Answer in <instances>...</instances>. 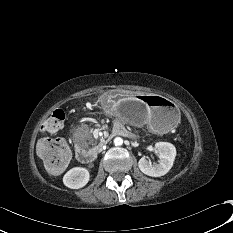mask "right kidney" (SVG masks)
Returning <instances> with one entry per match:
<instances>
[{
  "label": "right kidney",
  "instance_id": "obj_1",
  "mask_svg": "<svg viewBox=\"0 0 233 233\" xmlns=\"http://www.w3.org/2000/svg\"><path fill=\"white\" fill-rule=\"evenodd\" d=\"M90 178L89 171L83 167H74L70 169L63 177L65 186L71 189L84 187Z\"/></svg>",
  "mask_w": 233,
  "mask_h": 233
}]
</instances>
